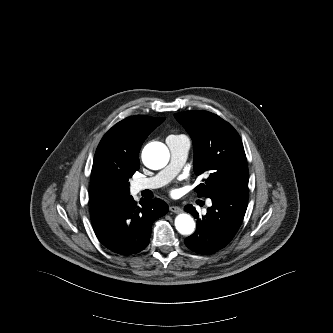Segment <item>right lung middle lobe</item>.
Here are the masks:
<instances>
[{
    "label": "right lung middle lobe",
    "instance_id": "1",
    "mask_svg": "<svg viewBox=\"0 0 333 333\" xmlns=\"http://www.w3.org/2000/svg\"><path fill=\"white\" fill-rule=\"evenodd\" d=\"M136 170H138V169H132L129 171V178L135 173ZM92 204H94V203H92ZM95 204H98V203H95ZM100 204H102V203H100Z\"/></svg>",
    "mask_w": 333,
    "mask_h": 333
}]
</instances>
